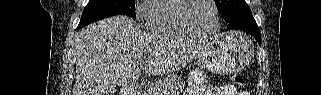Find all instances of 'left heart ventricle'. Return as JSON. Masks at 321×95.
I'll list each match as a JSON object with an SVG mask.
<instances>
[{"label": "left heart ventricle", "instance_id": "b2bd125f", "mask_svg": "<svg viewBox=\"0 0 321 95\" xmlns=\"http://www.w3.org/2000/svg\"><path fill=\"white\" fill-rule=\"evenodd\" d=\"M190 24L200 32H208L214 26L213 7L208 0H195L186 11Z\"/></svg>", "mask_w": 321, "mask_h": 95}]
</instances>
